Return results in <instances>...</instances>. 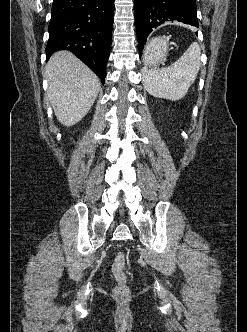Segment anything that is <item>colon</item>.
<instances>
[{"label":"colon","mask_w":247,"mask_h":332,"mask_svg":"<svg viewBox=\"0 0 247 332\" xmlns=\"http://www.w3.org/2000/svg\"><path fill=\"white\" fill-rule=\"evenodd\" d=\"M125 266L126 256L123 252H118L112 264V271L117 282L113 292L119 298H127L130 294L129 287L127 285Z\"/></svg>","instance_id":"5ec220e1"}]
</instances>
